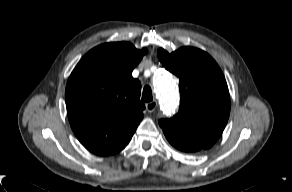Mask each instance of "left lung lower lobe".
<instances>
[{"label":"left lung lower lobe","mask_w":292,"mask_h":192,"mask_svg":"<svg viewBox=\"0 0 292 192\" xmlns=\"http://www.w3.org/2000/svg\"><path fill=\"white\" fill-rule=\"evenodd\" d=\"M175 148H177L178 150L184 151V152H196L199 151L201 149H198L196 147L190 146V145H186V144H182L179 142H174V141H170L168 140Z\"/></svg>","instance_id":"0a47b994"}]
</instances>
